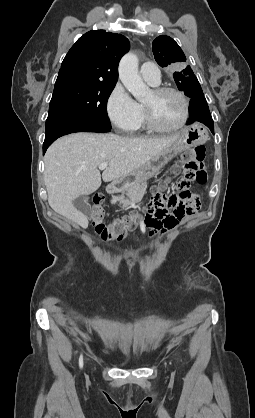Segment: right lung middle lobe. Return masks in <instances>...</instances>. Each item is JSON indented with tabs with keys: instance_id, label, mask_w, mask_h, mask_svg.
Returning a JSON list of instances; mask_svg holds the SVG:
<instances>
[{
	"instance_id": "obj_1",
	"label": "right lung middle lobe",
	"mask_w": 255,
	"mask_h": 418,
	"mask_svg": "<svg viewBox=\"0 0 255 418\" xmlns=\"http://www.w3.org/2000/svg\"><path fill=\"white\" fill-rule=\"evenodd\" d=\"M114 86L87 82L56 84L48 116L55 114L76 115L111 127L106 105Z\"/></svg>"
}]
</instances>
